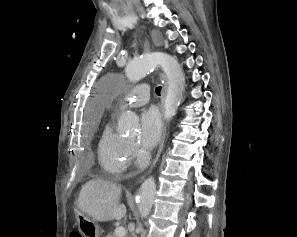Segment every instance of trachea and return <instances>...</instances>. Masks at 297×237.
I'll return each mask as SVG.
<instances>
[{
	"label": "trachea",
	"mask_w": 297,
	"mask_h": 237,
	"mask_svg": "<svg viewBox=\"0 0 297 237\" xmlns=\"http://www.w3.org/2000/svg\"><path fill=\"white\" fill-rule=\"evenodd\" d=\"M155 91H156V94L160 96V93H161V87H160V86L157 87Z\"/></svg>",
	"instance_id": "trachea-1"
}]
</instances>
